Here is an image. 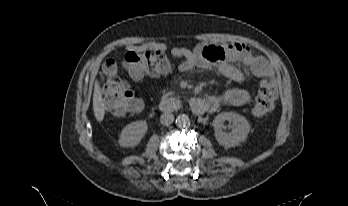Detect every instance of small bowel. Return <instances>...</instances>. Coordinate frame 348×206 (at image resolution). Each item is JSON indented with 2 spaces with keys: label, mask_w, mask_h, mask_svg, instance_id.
Returning <instances> with one entry per match:
<instances>
[{
  "label": "small bowel",
  "mask_w": 348,
  "mask_h": 206,
  "mask_svg": "<svg viewBox=\"0 0 348 206\" xmlns=\"http://www.w3.org/2000/svg\"><path fill=\"white\" fill-rule=\"evenodd\" d=\"M146 47L156 50L167 49L165 44L159 42L149 43ZM171 53L181 60L179 64L181 72L207 69L214 66L222 76L242 84L245 81L244 73L231 64V62H240L257 76L271 78L274 76L271 64L266 59L254 54L249 46L240 42L226 45L200 44L193 48L175 46L171 48ZM250 98L249 92L244 88L228 89L221 95L210 98L213 101L210 112L216 111L221 105L246 104Z\"/></svg>",
  "instance_id": "small-bowel-1"
}]
</instances>
